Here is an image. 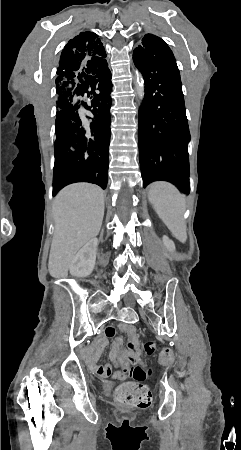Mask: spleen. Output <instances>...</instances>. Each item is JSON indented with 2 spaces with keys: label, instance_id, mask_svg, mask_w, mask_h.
Listing matches in <instances>:
<instances>
[{
  "label": "spleen",
  "instance_id": "obj_1",
  "mask_svg": "<svg viewBox=\"0 0 241 450\" xmlns=\"http://www.w3.org/2000/svg\"><path fill=\"white\" fill-rule=\"evenodd\" d=\"M148 200L160 220L179 242H186V226L183 220L185 196L168 182H154L148 190Z\"/></svg>",
  "mask_w": 241,
  "mask_h": 450
}]
</instances>
